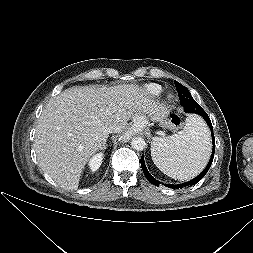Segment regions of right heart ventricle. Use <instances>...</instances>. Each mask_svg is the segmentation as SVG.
<instances>
[{"mask_svg":"<svg viewBox=\"0 0 253 253\" xmlns=\"http://www.w3.org/2000/svg\"><path fill=\"white\" fill-rule=\"evenodd\" d=\"M144 90L151 97L159 96L163 91L162 87L157 84H149L145 86Z\"/></svg>","mask_w":253,"mask_h":253,"instance_id":"1","label":"right heart ventricle"}]
</instances>
